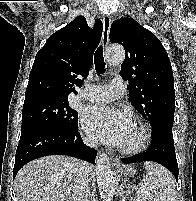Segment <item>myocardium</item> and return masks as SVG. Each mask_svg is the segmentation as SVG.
Wrapping results in <instances>:
<instances>
[{"instance_id": "myocardium-1", "label": "myocardium", "mask_w": 196, "mask_h": 201, "mask_svg": "<svg viewBox=\"0 0 196 201\" xmlns=\"http://www.w3.org/2000/svg\"><path fill=\"white\" fill-rule=\"evenodd\" d=\"M136 126L139 129V139L138 141L130 146L124 147L119 146L118 149L124 154L133 155L143 151L149 144L151 139V130L150 127L143 121H137Z\"/></svg>"}]
</instances>
